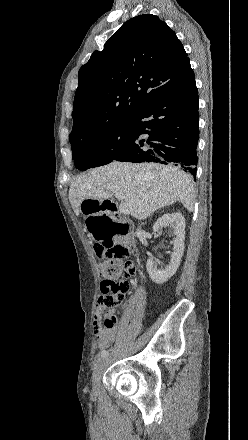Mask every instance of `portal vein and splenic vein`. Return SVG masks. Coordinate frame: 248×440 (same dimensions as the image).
<instances>
[{"mask_svg":"<svg viewBox=\"0 0 248 440\" xmlns=\"http://www.w3.org/2000/svg\"><path fill=\"white\" fill-rule=\"evenodd\" d=\"M107 189H109L110 191H112L113 193H115V196L118 200L122 201L123 200V195L120 193L119 189L117 187L114 186H108ZM119 211L123 214H129L131 213V209L128 207L127 204L122 203L119 207Z\"/></svg>","mask_w":248,"mask_h":440,"instance_id":"obj_1","label":"portal vein and splenic vein"}]
</instances>
